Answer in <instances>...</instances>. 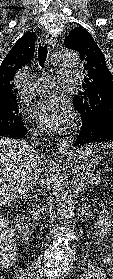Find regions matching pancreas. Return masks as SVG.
Listing matches in <instances>:
<instances>
[{
    "label": "pancreas",
    "mask_w": 113,
    "mask_h": 279,
    "mask_svg": "<svg viewBox=\"0 0 113 279\" xmlns=\"http://www.w3.org/2000/svg\"><path fill=\"white\" fill-rule=\"evenodd\" d=\"M80 178L84 180L86 183H90L92 185H100L101 177L95 174L90 173H80Z\"/></svg>",
    "instance_id": "cf45deb5"
}]
</instances>
